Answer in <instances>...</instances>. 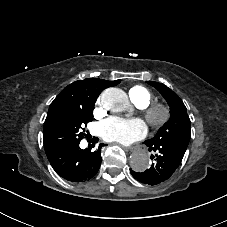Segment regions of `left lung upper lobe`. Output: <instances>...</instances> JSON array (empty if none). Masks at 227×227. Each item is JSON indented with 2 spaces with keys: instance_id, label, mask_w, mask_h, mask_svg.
Masks as SVG:
<instances>
[{
  "instance_id": "obj_1",
  "label": "left lung upper lobe",
  "mask_w": 227,
  "mask_h": 227,
  "mask_svg": "<svg viewBox=\"0 0 227 227\" xmlns=\"http://www.w3.org/2000/svg\"><path fill=\"white\" fill-rule=\"evenodd\" d=\"M147 83L155 87L162 94L170 106L171 114L169 120L158 130L157 134L148 141L170 142L182 147H187L191 137V122L183 101L164 84L149 81Z\"/></svg>"
}]
</instances>
